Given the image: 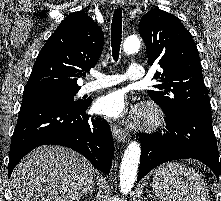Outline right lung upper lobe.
<instances>
[{"label":"right lung upper lobe","mask_w":221,"mask_h":201,"mask_svg":"<svg viewBox=\"0 0 221 201\" xmlns=\"http://www.w3.org/2000/svg\"><path fill=\"white\" fill-rule=\"evenodd\" d=\"M103 45V31L90 16L70 14L39 52L25 88L80 89L77 79L96 65Z\"/></svg>","instance_id":"obj_1"}]
</instances>
